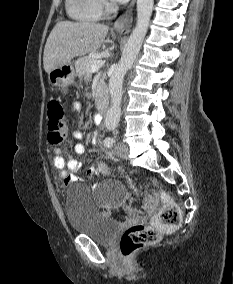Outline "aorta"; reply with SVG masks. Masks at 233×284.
Wrapping results in <instances>:
<instances>
[{"instance_id":"obj_1","label":"aorta","mask_w":233,"mask_h":284,"mask_svg":"<svg viewBox=\"0 0 233 284\" xmlns=\"http://www.w3.org/2000/svg\"><path fill=\"white\" fill-rule=\"evenodd\" d=\"M153 4L154 0H137V24L125 45L117 68L109 79L111 107L105 117V126L108 129H115L120 121L123 79L140 51L148 30Z\"/></svg>"}]
</instances>
